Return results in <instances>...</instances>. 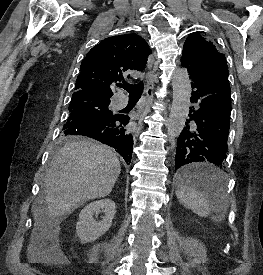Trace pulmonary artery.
I'll list each match as a JSON object with an SVG mask.
<instances>
[{
  "label": "pulmonary artery",
  "instance_id": "e3ab8cb5",
  "mask_svg": "<svg viewBox=\"0 0 263 275\" xmlns=\"http://www.w3.org/2000/svg\"><path fill=\"white\" fill-rule=\"evenodd\" d=\"M126 104L127 98L124 95L119 94L114 98L113 105L115 108H123L124 106H126Z\"/></svg>",
  "mask_w": 263,
  "mask_h": 275
}]
</instances>
